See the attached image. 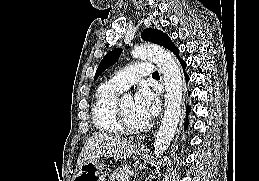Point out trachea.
Returning a JSON list of instances; mask_svg holds the SVG:
<instances>
[{"instance_id": "3493384b", "label": "trachea", "mask_w": 259, "mask_h": 181, "mask_svg": "<svg viewBox=\"0 0 259 181\" xmlns=\"http://www.w3.org/2000/svg\"><path fill=\"white\" fill-rule=\"evenodd\" d=\"M152 76H159L158 71H155Z\"/></svg>"}]
</instances>
